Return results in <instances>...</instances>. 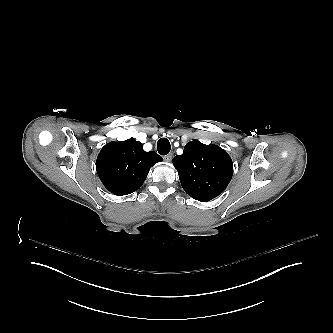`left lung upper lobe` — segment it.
Here are the masks:
<instances>
[{
    "label": "left lung upper lobe",
    "instance_id": "1",
    "mask_svg": "<svg viewBox=\"0 0 333 333\" xmlns=\"http://www.w3.org/2000/svg\"><path fill=\"white\" fill-rule=\"evenodd\" d=\"M181 185L192 198L207 202L220 195L233 175V162L217 145H205L198 140L188 142L182 155L172 159Z\"/></svg>",
    "mask_w": 333,
    "mask_h": 333
}]
</instances>
